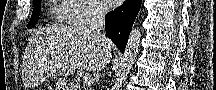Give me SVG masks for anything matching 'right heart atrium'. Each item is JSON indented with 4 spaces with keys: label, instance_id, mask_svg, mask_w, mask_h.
<instances>
[{
    "label": "right heart atrium",
    "instance_id": "d8ad5b80",
    "mask_svg": "<svg viewBox=\"0 0 216 90\" xmlns=\"http://www.w3.org/2000/svg\"><path fill=\"white\" fill-rule=\"evenodd\" d=\"M64 2L80 6L81 12L77 15V20H96L103 13V8L95 0H64Z\"/></svg>",
    "mask_w": 216,
    "mask_h": 90
}]
</instances>
